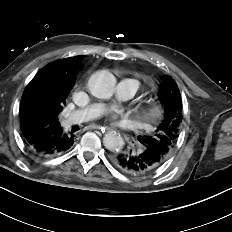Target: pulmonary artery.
I'll return each instance as SVG.
<instances>
[{"label": "pulmonary artery", "instance_id": "1", "mask_svg": "<svg viewBox=\"0 0 232 232\" xmlns=\"http://www.w3.org/2000/svg\"><path fill=\"white\" fill-rule=\"evenodd\" d=\"M139 89L138 81L134 79H122L117 86L116 98L118 100H126L133 97ZM106 109V105L102 103H94L86 108L77 110L71 113L63 122V126L68 128L75 124H80L91 120L100 114H102Z\"/></svg>", "mask_w": 232, "mask_h": 232}]
</instances>
